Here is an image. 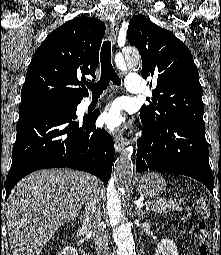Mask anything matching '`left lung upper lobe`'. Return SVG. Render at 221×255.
Wrapping results in <instances>:
<instances>
[{
	"mask_svg": "<svg viewBox=\"0 0 221 255\" xmlns=\"http://www.w3.org/2000/svg\"><path fill=\"white\" fill-rule=\"evenodd\" d=\"M127 38L141 54L142 77L151 76L156 84L154 98L141 107L140 116L151 125L173 117L205 125L199 73L186 45L142 15L130 20Z\"/></svg>",
	"mask_w": 221,
	"mask_h": 255,
	"instance_id": "left-lung-upper-lobe-1",
	"label": "left lung upper lobe"
}]
</instances>
